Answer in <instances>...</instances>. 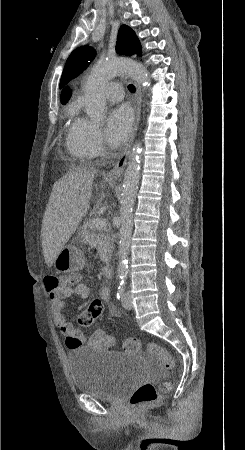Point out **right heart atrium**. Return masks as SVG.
Here are the masks:
<instances>
[{"mask_svg":"<svg viewBox=\"0 0 245 450\" xmlns=\"http://www.w3.org/2000/svg\"><path fill=\"white\" fill-rule=\"evenodd\" d=\"M79 147L86 157H95L104 151V139L100 129L90 120L78 121Z\"/></svg>","mask_w":245,"mask_h":450,"instance_id":"obj_1","label":"right heart atrium"}]
</instances>
